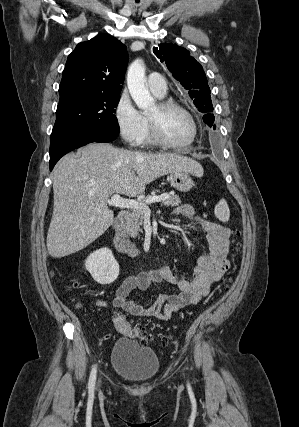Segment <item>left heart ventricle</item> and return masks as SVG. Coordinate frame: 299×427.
I'll return each mask as SVG.
<instances>
[{"label":"left heart ventricle","mask_w":299,"mask_h":427,"mask_svg":"<svg viewBox=\"0 0 299 427\" xmlns=\"http://www.w3.org/2000/svg\"><path fill=\"white\" fill-rule=\"evenodd\" d=\"M148 116L155 118L162 134L175 143L187 142L192 134V125L189 118L177 109L160 111L157 104L148 112Z\"/></svg>","instance_id":"1"}]
</instances>
